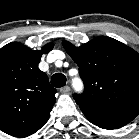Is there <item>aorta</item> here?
<instances>
[{"instance_id": "762f6f07", "label": "aorta", "mask_w": 139, "mask_h": 139, "mask_svg": "<svg viewBox=\"0 0 139 139\" xmlns=\"http://www.w3.org/2000/svg\"><path fill=\"white\" fill-rule=\"evenodd\" d=\"M73 87L77 92H81L84 88L83 83L79 78L73 80Z\"/></svg>"}]
</instances>
